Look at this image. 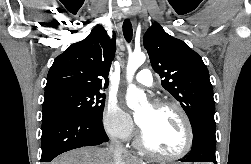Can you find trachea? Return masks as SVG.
I'll return each instance as SVG.
<instances>
[{
    "label": "trachea",
    "mask_w": 251,
    "mask_h": 164,
    "mask_svg": "<svg viewBox=\"0 0 251 164\" xmlns=\"http://www.w3.org/2000/svg\"><path fill=\"white\" fill-rule=\"evenodd\" d=\"M123 34L127 42L132 40L133 29L129 19L125 20L123 23Z\"/></svg>",
    "instance_id": "1"
}]
</instances>
